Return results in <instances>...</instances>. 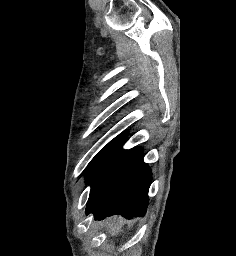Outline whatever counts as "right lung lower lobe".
I'll return each instance as SVG.
<instances>
[{"label":"right lung lower lobe","mask_w":236,"mask_h":256,"mask_svg":"<svg viewBox=\"0 0 236 256\" xmlns=\"http://www.w3.org/2000/svg\"><path fill=\"white\" fill-rule=\"evenodd\" d=\"M150 168L141 148H133L111 162L91 184L86 214L96 220L121 214L127 219L144 216L151 184Z\"/></svg>","instance_id":"right-lung-lower-lobe-1"}]
</instances>
